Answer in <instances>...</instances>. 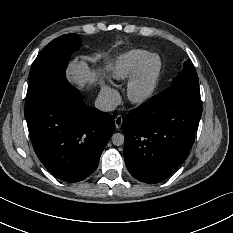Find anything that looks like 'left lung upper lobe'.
Masks as SVG:
<instances>
[{
    "label": "left lung upper lobe",
    "instance_id": "5c2ea615",
    "mask_svg": "<svg viewBox=\"0 0 233 233\" xmlns=\"http://www.w3.org/2000/svg\"><path fill=\"white\" fill-rule=\"evenodd\" d=\"M158 96L168 100L187 99L199 101L198 76L191 60L184 63L182 73L174 79L172 86L165 89Z\"/></svg>",
    "mask_w": 233,
    "mask_h": 233
}]
</instances>
